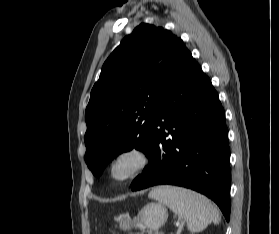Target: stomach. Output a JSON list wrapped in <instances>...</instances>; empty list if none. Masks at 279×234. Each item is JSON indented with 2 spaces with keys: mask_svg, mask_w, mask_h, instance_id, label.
<instances>
[{
  "mask_svg": "<svg viewBox=\"0 0 279 234\" xmlns=\"http://www.w3.org/2000/svg\"><path fill=\"white\" fill-rule=\"evenodd\" d=\"M167 216V210L162 204L149 203L133 219L128 214H122L115 220L120 223L123 230H127L129 226L142 224L146 228L156 231L166 222Z\"/></svg>",
  "mask_w": 279,
  "mask_h": 234,
  "instance_id": "obj_1",
  "label": "stomach"
}]
</instances>
